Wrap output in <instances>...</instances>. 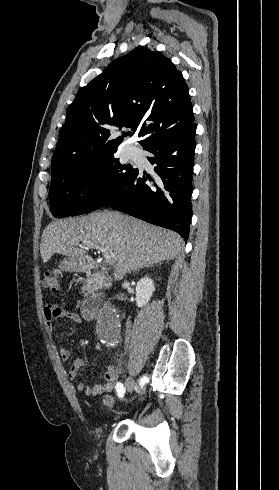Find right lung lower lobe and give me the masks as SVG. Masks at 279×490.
<instances>
[{
    "label": "right lung lower lobe",
    "mask_w": 279,
    "mask_h": 490,
    "mask_svg": "<svg viewBox=\"0 0 279 490\" xmlns=\"http://www.w3.org/2000/svg\"><path fill=\"white\" fill-rule=\"evenodd\" d=\"M196 124L144 148L160 178L139 171L103 205L176 231L187 241L192 214V175ZM152 181L149 183L147 181ZM147 182V183H146Z\"/></svg>",
    "instance_id": "right-lung-lower-lobe-1"
}]
</instances>
